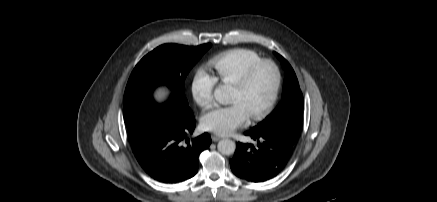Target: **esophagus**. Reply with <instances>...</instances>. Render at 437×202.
<instances>
[{
	"label": "esophagus",
	"mask_w": 437,
	"mask_h": 202,
	"mask_svg": "<svg viewBox=\"0 0 437 202\" xmlns=\"http://www.w3.org/2000/svg\"><path fill=\"white\" fill-rule=\"evenodd\" d=\"M211 138H212V141H214V142H217V141H219V140L222 139L220 136L215 135V134H213V135L211 136Z\"/></svg>",
	"instance_id": "1"
}]
</instances>
